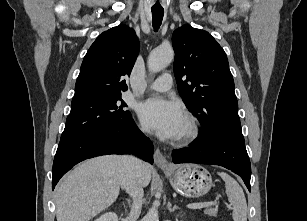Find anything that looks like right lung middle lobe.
<instances>
[{"label": "right lung middle lobe", "instance_id": "obj_1", "mask_svg": "<svg viewBox=\"0 0 307 221\" xmlns=\"http://www.w3.org/2000/svg\"><path fill=\"white\" fill-rule=\"evenodd\" d=\"M121 95L94 98L72 103L61 139L122 123L131 118Z\"/></svg>", "mask_w": 307, "mask_h": 221}]
</instances>
